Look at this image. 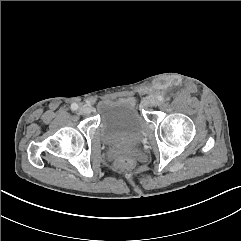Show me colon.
<instances>
[{
	"instance_id": "1",
	"label": "colon",
	"mask_w": 241,
	"mask_h": 241,
	"mask_svg": "<svg viewBox=\"0 0 241 241\" xmlns=\"http://www.w3.org/2000/svg\"><path fill=\"white\" fill-rule=\"evenodd\" d=\"M118 166L124 169H129L133 166V161L130 158H122L118 161Z\"/></svg>"
}]
</instances>
